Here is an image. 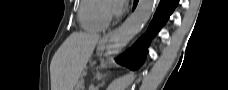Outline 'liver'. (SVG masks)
Returning <instances> with one entry per match:
<instances>
[{
    "label": "liver",
    "instance_id": "1",
    "mask_svg": "<svg viewBox=\"0 0 228 90\" xmlns=\"http://www.w3.org/2000/svg\"><path fill=\"white\" fill-rule=\"evenodd\" d=\"M98 34L73 32L54 54L51 90H74L99 40Z\"/></svg>",
    "mask_w": 228,
    "mask_h": 90
}]
</instances>
